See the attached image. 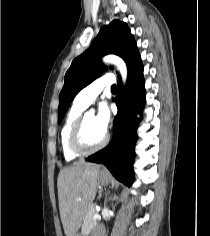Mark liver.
<instances>
[{
    "instance_id": "liver-1",
    "label": "liver",
    "mask_w": 210,
    "mask_h": 236,
    "mask_svg": "<svg viewBox=\"0 0 210 236\" xmlns=\"http://www.w3.org/2000/svg\"><path fill=\"white\" fill-rule=\"evenodd\" d=\"M100 165L78 161L60 171L59 211L66 236H75L96 196Z\"/></svg>"
}]
</instances>
